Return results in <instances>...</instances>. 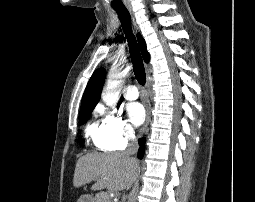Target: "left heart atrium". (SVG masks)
I'll list each match as a JSON object with an SVG mask.
<instances>
[{"label": "left heart atrium", "mask_w": 255, "mask_h": 202, "mask_svg": "<svg viewBox=\"0 0 255 202\" xmlns=\"http://www.w3.org/2000/svg\"><path fill=\"white\" fill-rule=\"evenodd\" d=\"M126 111L130 121L136 126L140 125L145 119V109L138 102L129 103L126 106Z\"/></svg>", "instance_id": "left-heart-atrium-1"}]
</instances>
